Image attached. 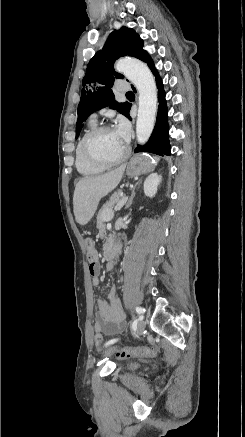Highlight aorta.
Listing matches in <instances>:
<instances>
[{
	"mask_svg": "<svg viewBox=\"0 0 245 437\" xmlns=\"http://www.w3.org/2000/svg\"><path fill=\"white\" fill-rule=\"evenodd\" d=\"M115 69L134 83L138 90L136 137L138 143L144 144L151 136L156 120L157 88L154 77L145 63L134 58L118 60Z\"/></svg>",
	"mask_w": 245,
	"mask_h": 437,
	"instance_id": "obj_1",
	"label": "aorta"
}]
</instances>
